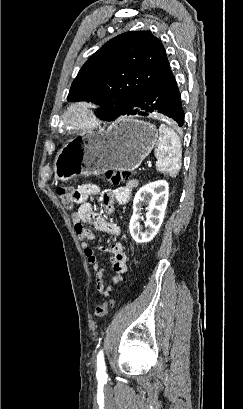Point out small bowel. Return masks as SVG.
Returning <instances> with one entry per match:
<instances>
[{
  "mask_svg": "<svg viewBox=\"0 0 243 409\" xmlns=\"http://www.w3.org/2000/svg\"><path fill=\"white\" fill-rule=\"evenodd\" d=\"M138 186V180L133 179L127 184L116 189L110 190L103 197V206L106 213L111 214L115 211V203H125L130 198L131 192ZM99 191L95 184L81 185L76 189L80 207L72 214L74 229L82 241L85 257L88 263L92 266L95 274V288L104 297H108L115 285L123 280V274L127 271V256L123 246L120 243H114L109 247L101 249L110 254V262L115 272L112 282L105 285L103 276L105 268L100 266L97 261L94 249L89 245V242L94 239L93 232L86 228L92 226L95 229L106 232L111 235L119 236L121 230L115 223L107 222L101 215L93 211L89 197Z\"/></svg>",
  "mask_w": 243,
  "mask_h": 409,
  "instance_id": "1",
  "label": "small bowel"
}]
</instances>
